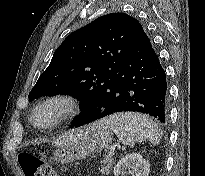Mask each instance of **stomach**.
<instances>
[{"mask_svg":"<svg viewBox=\"0 0 205 176\" xmlns=\"http://www.w3.org/2000/svg\"><path fill=\"white\" fill-rule=\"evenodd\" d=\"M86 134L79 141L58 148L54 153V161L66 164L100 152L112 143V132L97 123L87 126Z\"/></svg>","mask_w":205,"mask_h":176,"instance_id":"0dacf381","label":"stomach"}]
</instances>
